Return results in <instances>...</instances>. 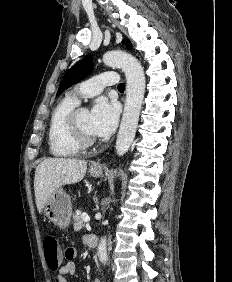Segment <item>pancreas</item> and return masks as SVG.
Listing matches in <instances>:
<instances>
[{
	"label": "pancreas",
	"mask_w": 232,
	"mask_h": 282,
	"mask_svg": "<svg viewBox=\"0 0 232 282\" xmlns=\"http://www.w3.org/2000/svg\"><path fill=\"white\" fill-rule=\"evenodd\" d=\"M73 220H74V224H73L74 230L78 231L84 227V221L81 214L75 213L73 215Z\"/></svg>",
	"instance_id": "pancreas-1"
}]
</instances>
